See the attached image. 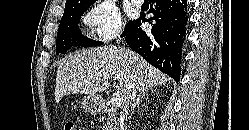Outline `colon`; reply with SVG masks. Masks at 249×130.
Listing matches in <instances>:
<instances>
[{"label": "colon", "mask_w": 249, "mask_h": 130, "mask_svg": "<svg viewBox=\"0 0 249 130\" xmlns=\"http://www.w3.org/2000/svg\"><path fill=\"white\" fill-rule=\"evenodd\" d=\"M63 130H82V129L78 127L73 121H67L63 126Z\"/></svg>", "instance_id": "colon-1"}]
</instances>
